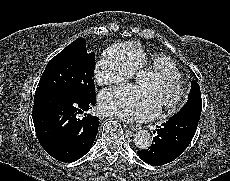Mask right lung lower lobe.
<instances>
[{"instance_id":"obj_1","label":"right lung lower lobe","mask_w":230,"mask_h":181,"mask_svg":"<svg viewBox=\"0 0 230 181\" xmlns=\"http://www.w3.org/2000/svg\"><path fill=\"white\" fill-rule=\"evenodd\" d=\"M96 96L84 98L71 94H41L35 97L33 122L38 140L45 151L62 162L84 156L97 135L99 118H79V113L95 105Z\"/></svg>"}]
</instances>
